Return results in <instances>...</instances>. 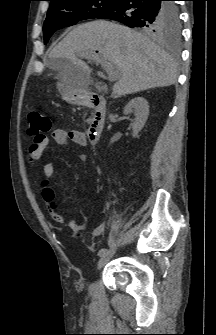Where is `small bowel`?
I'll list each match as a JSON object with an SVG mask.
<instances>
[{
  "instance_id": "1",
  "label": "small bowel",
  "mask_w": 216,
  "mask_h": 335,
  "mask_svg": "<svg viewBox=\"0 0 216 335\" xmlns=\"http://www.w3.org/2000/svg\"><path fill=\"white\" fill-rule=\"evenodd\" d=\"M52 139L60 146H78L85 147L87 145L86 135L82 131L78 130H65V129H54L52 131ZM48 145V138L45 136L42 140L32 142L28 148V159L31 163L41 158L45 148ZM43 179H42V197L46 205L48 212L52 218L59 224L64 223V217L56 210L53 203L50 200H46L43 196V192L46 188H49V182L54 174V164L52 162H46L43 165ZM69 227L72 232L77 233L83 230L82 224L74 221L69 222ZM105 230V223L101 221L92 232L93 238H98ZM95 241L92 242L90 248H93Z\"/></svg>"
}]
</instances>
